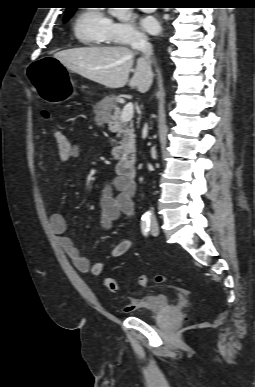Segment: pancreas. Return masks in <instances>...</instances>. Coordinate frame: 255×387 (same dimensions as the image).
<instances>
[{
	"label": "pancreas",
	"instance_id": "obj_1",
	"mask_svg": "<svg viewBox=\"0 0 255 387\" xmlns=\"http://www.w3.org/2000/svg\"><path fill=\"white\" fill-rule=\"evenodd\" d=\"M106 105L107 111H97V115L105 123L111 132L117 133V138L121 140L116 142L112 148L111 154L115 160L125 158L129 154L135 153V133L133 122L121 121V109L117 105L116 97L109 96L99 103V106ZM114 109V114L109 111Z\"/></svg>",
	"mask_w": 255,
	"mask_h": 387
}]
</instances>
